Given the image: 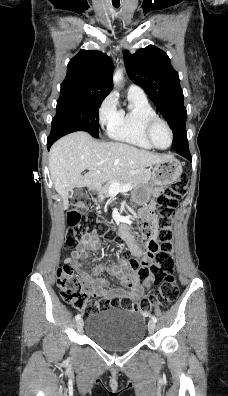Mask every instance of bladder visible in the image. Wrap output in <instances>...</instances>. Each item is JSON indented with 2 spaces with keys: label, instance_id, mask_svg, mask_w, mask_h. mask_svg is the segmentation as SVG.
I'll return each instance as SVG.
<instances>
[{
  "label": "bladder",
  "instance_id": "bladder-1",
  "mask_svg": "<svg viewBox=\"0 0 228 396\" xmlns=\"http://www.w3.org/2000/svg\"><path fill=\"white\" fill-rule=\"evenodd\" d=\"M86 335L103 348L115 351L129 350L144 340L146 320L135 311L104 309L89 315Z\"/></svg>",
  "mask_w": 228,
  "mask_h": 396
}]
</instances>
